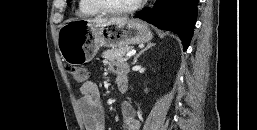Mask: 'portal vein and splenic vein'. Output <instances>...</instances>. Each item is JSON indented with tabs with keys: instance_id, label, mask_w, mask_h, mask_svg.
I'll use <instances>...</instances> for the list:
<instances>
[{
	"instance_id": "1",
	"label": "portal vein and splenic vein",
	"mask_w": 257,
	"mask_h": 130,
	"mask_svg": "<svg viewBox=\"0 0 257 130\" xmlns=\"http://www.w3.org/2000/svg\"><path fill=\"white\" fill-rule=\"evenodd\" d=\"M135 53H136V50H131V51H129V52L126 54V57H131V56L135 55Z\"/></svg>"
}]
</instances>
